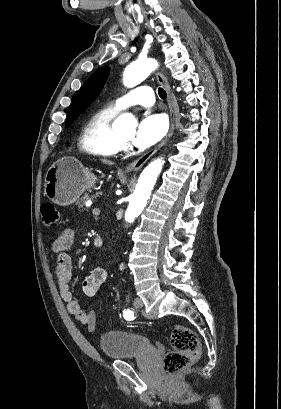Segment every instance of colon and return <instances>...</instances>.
Listing matches in <instances>:
<instances>
[{
  "mask_svg": "<svg viewBox=\"0 0 281 409\" xmlns=\"http://www.w3.org/2000/svg\"><path fill=\"white\" fill-rule=\"evenodd\" d=\"M42 222L46 226L56 224L59 213L54 203L43 202L41 205ZM90 331L94 330V324H89ZM170 344L173 348L163 360V368L167 372H177L186 368L200 355L199 340L197 334L188 327L174 325L170 330Z\"/></svg>",
  "mask_w": 281,
  "mask_h": 409,
  "instance_id": "colon-1",
  "label": "colon"
}]
</instances>
